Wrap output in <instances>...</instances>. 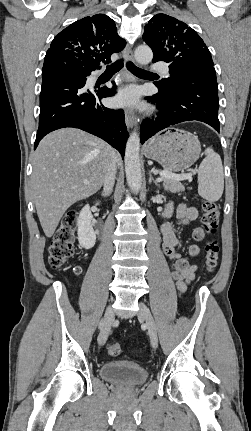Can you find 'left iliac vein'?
Segmentation results:
<instances>
[{
    "label": "left iliac vein",
    "instance_id": "1",
    "mask_svg": "<svg viewBox=\"0 0 251 431\" xmlns=\"http://www.w3.org/2000/svg\"><path fill=\"white\" fill-rule=\"evenodd\" d=\"M139 311L138 317L142 318L148 328V334L150 336L151 345L153 348H157L158 346V336H157V327L154 321V318L149 310V308L142 302L139 303Z\"/></svg>",
    "mask_w": 251,
    "mask_h": 431
}]
</instances>
